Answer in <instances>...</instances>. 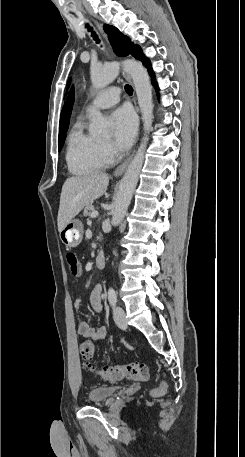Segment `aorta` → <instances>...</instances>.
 Instances as JSON below:
<instances>
[{
	"label": "aorta",
	"mask_w": 245,
	"mask_h": 457,
	"mask_svg": "<svg viewBox=\"0 0 245 457\" xmlns=\"http://www.w3.org/2000/svg\"><path fill=\"white\" fill-rule=\"evenodd\" d=\"M124 68L130 74L135 86L138 104L144 123V137L119 185L112 212V223L114 226H117L122 222L136 188L144 161L147 141L149 139L148 134L152 129L154 107L149 76L143 65L135 60H126L124 61ZM119 69V62H112L100 68L93 67L91 69L93 87L96 90H100L108 86L118 76ZM109 127L110 120L104 117L99 111H93L91 113L90 129L93 133L102 135L108 131Z\"/></svg>",
	"instance_id": "1"
}]
</instances>
